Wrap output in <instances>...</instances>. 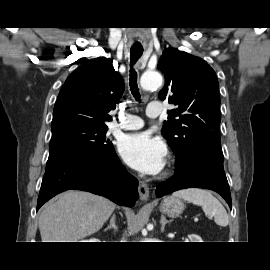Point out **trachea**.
I'll list each match as a JSON object with an SVG mask.
<instances>
[{"label":"trachea","mask_w":270,"mask_h":270,"mask_svg":"<svg viewBox=\"0 0 270 270\" xmlns=\"http://www.w3.org/2000/svg\"><path fill=\"white\" fill-rule=\"evenodd\" d=\"M142 54H143L142 47H140V48L139 47H131V54H130L131 66H133L138 61V59L142 56ZM129 85H130L131 93L133 94L134 98L137 101H140L141 95L139 93V89L137 86V73L133 68L130 69Z\"/></svg>","instance_id":"1"}]
</instances>
